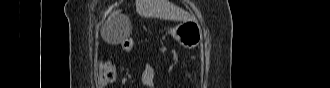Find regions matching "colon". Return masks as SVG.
<instances>
[{
    "label": "colon",
    "mask_w": 330,
    "mask_h": 88,
    "mask_svg": "<svg viewBox=\"0 0 330 88\" xmlns=\"http://www.w3.org/2000/svg\"><path fill=\"white\" fill-rule=\"evenodd\" d=\"M134 41L132 38H125L121 42V47L128 51L133 48ZM117 72L116 68L113 64L107 62L102 66L101 73H100V81L102 85H110L116 81Z\"/></svg>",
    "instance_id": "5ec220e1"
}]
</instances>
